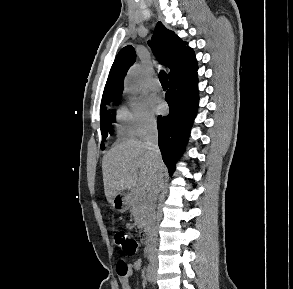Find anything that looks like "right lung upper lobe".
Listing matches in <instances>:
<instances>
[{"label":"right lung upper lobe","instance_id":"1","mask_svg":"<svg viewBox=\"0 0 293 289\" xmlns=\"http://www.w3.org/2000/svg\"><path fill=\"white\" fill-rule=\"evenodd\" d=\"M186 44L161 22L157 23L149 46L160 57L162 63L170 68L169 81L171 82L189 79L197 74L195 53ZM135 60L136 54L132 46H125L120 50L111 67L102 102L121 96L124 76Z\"/></svg>","mask_w":293,"mask_h":289}]
</instances>
